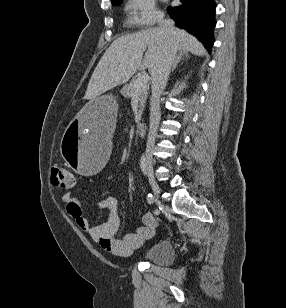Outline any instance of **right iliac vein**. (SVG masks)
<instances>
[{
  "label": "right iliac vein",
  "mask_w": 286,
  "mask_h": 308,
  "mask_svg": "<svg viewBox=\"0 0 286 308\" xmlns=\"http://www.w3.org/2000/svg\"><path fill=\"white\" fill-rule=\"evenodd\" d=\"M146 169H147V173H148L150 186H151L152 191H153L155 198H156V203L165 208V206L163 204H161V202L159 200V187H158L157 181L154 177L153 162H152L151 154L148 155V161H147Z\"/></svg>",
  "instance_id": "1"
}]
</instances>
